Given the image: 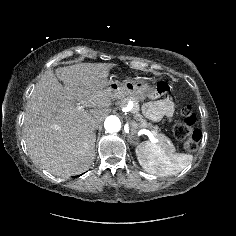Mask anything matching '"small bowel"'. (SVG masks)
<instances>
[{"label":"small bowel","mask_w":236,"mask_h":236,"mask_svg":"<svg viewBox=\"0 0 236 236\" xmlns=\"http://www.w3.org/2000/svg\"><path fill=\"white\" fill-rule=\"evenodd\" d=\"M148 110H150V112L155 116L160 114H167L168 116H171L173 107L168 100L153 101L149 103Z\"/></svg>","instance_id":"1"}]
</instances>
